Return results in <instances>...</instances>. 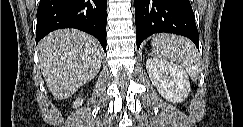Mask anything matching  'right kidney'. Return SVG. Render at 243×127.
Masks as SVG:
<instances>
[{
  "mask_svg": "<svg viewBox=\"0 0 243 127\" xmlns=\"http://www.w3.org/2000/svg\"><path fill=\"white\" fill-rule=\"evenodd\" d=\"M82 103H83V100L77 99L74 101L73 107L77 108L78 106L82 105Z\"/></svg>",
  "mask_w": 243,
  "mask_h": 127,
  "instance_id": "ca27d5eb",
  "label": "right kidney"
}]
</instances>
